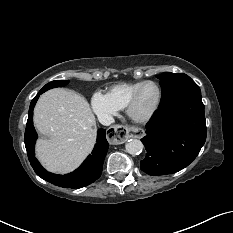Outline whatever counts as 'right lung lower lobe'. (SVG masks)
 <instances>
[{
  "mask_svg": "<svg viewBox=\"0 0 233 233\" xmlns=\"http://www.w3.org/2000/svg\"><path fill=\"white\" fill-rule=\"evenodd\" d=\"M42 93V91H39L30 104L24 136L25 147L31 166L35 170L36 174L42 179L60 187L81 188L93 183L101 176L104 158L109 147L105 137L106 130L104 129H100L98 131L97 144L95 145L92 154L89 155L83 164L72 173L66 175L49 173L35 158L34 146L37 139V133L33 126V108L39 98V95Z\"/></svg>",
  "mask_w": 233,
  "mask_h": 233,
  "instance_id": "1",
  "label": "right lung lower lobe"
}]
</instances>
